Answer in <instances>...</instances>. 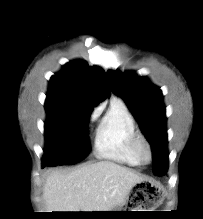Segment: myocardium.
<instances>
[{
  "instance_id": "1",
  "label": "myocardium",
  "mask_w": 203,
  "mask_h": 219,
  "mask_svg": "<svg viewBox=\"0 0 203 219\" xmlns=\"http://www.w3.org/2000/svg\"><path fill=\"white\" fill-rule=\"evenodd\" d=\"M133 148L141 163L147 164L153 158V151L144 135L138 133L133 138Z\"/></svg>"
}]
</instances>
